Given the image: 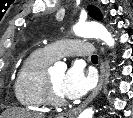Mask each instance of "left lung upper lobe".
Here are the masks:
<instances>
[{
    "label": "left lung upper lobe",
    "mask_w": 133,
    "mask_h": 118,
    "mask_svg": "<svg viewBox=\"0 0 133 118\" xmlns=\"http://www.w3.org/2000/svg\"><path fill=\"white\" fill-rule=\"evenodd\" d=\"M88 11H89V15L90 17L96 19V20H101L102 19V14L100 12V10L95 7V6H88Z\"/></svg>",
    "instance_id": "obj_1"
}]
</instances>
